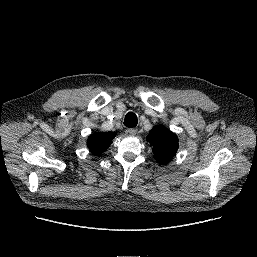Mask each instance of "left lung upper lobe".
<instances>
[{"mask_svg": "<svg viewBox=\"0 0 257 257\" xmlns=\"http://www.w3.org/2000/svg\"><path fill=\"white\" fill-rule=\"evenodd\" d=\"M147 141L153 147L156 160L165 165L175 156L178 149V137L163 126L152 128L147 135Z\"/></svg>", "mask_w": 257, "mask_h": 257, "instance_id": "1", "label": "left lung upper lobe"}]
</instances>
